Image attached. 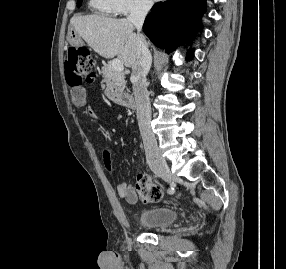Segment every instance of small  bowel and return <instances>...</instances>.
Listing matches in <instances>:
<instances>
[{
	"mask_svg": "<svg viewBox=\"0 0 286 269\" xmlns=\"http://www.w3.org/2000/svg\"><path fill=\"white\" fill-rule=\"evenodd\" d=\"M102 92L106 93L107 89L103 88ZM108 93H121V88H108ZM110 98L111 99H121L122 95L121 94H111ZM71 99H72V102L74 104L83 105L86 102V93L82 88H73L71 90ZM87 115L90 118L94 117V113L91 109H87ZM113 153H114L113 147L106 146L104 148L103 163H104L105 168L108 171H113ZM116 191H117V194L119 195V197H121L122 199L126 200L129 203H134L138 200V195H137L136 189L132 185H130L124 181H120L117 183Z\"/></svg>",
	"mask_w": 286,
	"mask_h": 269,
	"instance_id": "obj_1",
	"label": "small bowel"
}]
</instances>
